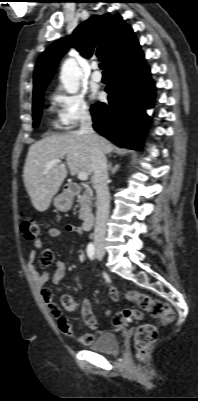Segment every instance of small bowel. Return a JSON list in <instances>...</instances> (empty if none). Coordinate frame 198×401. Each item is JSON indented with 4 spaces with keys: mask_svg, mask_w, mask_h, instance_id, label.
I'll use <instances>...</instances> for the list:
<instances>
[{
    "mask_svg": "<svg viewBox=\"0 0 198 401\" xmlns=\"http://www.w3.org/2000/svg\"><path fill=\"white\" fill-rule=\"evenodd\" d=\"M65 231L67 233L71 234H83V229L80 228L79 226L69 224L65 227ZM48 235L51 238H58L62 235V230L57 228V227H52L48 230ZM42 248V240L41 238H37L34 247L30 250L29 256H28V269L31 273L32 280L36 286V288L39 290L41 298L43 301L48 305L50 313L57 318L58 322V327L61 333L64 336L67 337H75L78 339L79 343L81 345H89L93 339L94 335L92 334H78L75 331V328L73 327L72 323L61 316L57 317L54 312V305L55 303L53 302V294L50 289L45 287L46 282L49 279L50 273L52 270L55 271V277H54V284L58 285L60 282V279L65 275V270H66V265L63 261L61 260H55L54 255L51 251H44L40 258H39V266L40 269L36 266V262L38 261V250ZM108 294L113 302L118 301V292L114 288H109L108 289ZM82 316L86 324L94 329L96 332L101 333V329L98 326V322L95 319L93 312H92V307L89 301L85 300L82 303Z\"/></svg>",
    "mask_w": 198,
    "mask_h": 401,
    "instance_id": "c3829d8e",
    "label": "small bowel"
}]
</instances>
